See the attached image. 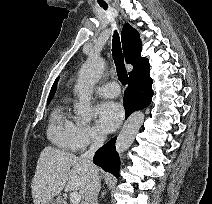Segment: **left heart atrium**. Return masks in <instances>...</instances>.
Wrapping results in <instances>:
<instances>
[{
  "label": "left heart atrium",
  "instance_id": "obj_1",
  "mask_svg": "<svg viewBox=\"0 0 212 204\" xmlns=\"http://www.w3.org/2000/svg\"><path fill=\"white\" fill-rule=\"evenodd\" d=\"M124 111L115 101H103L97 106L98 125L104 132H112L123 120Z\"/></svg>",
  "mask_w": 212,
  "mask_h": 204
}]
</instances>
